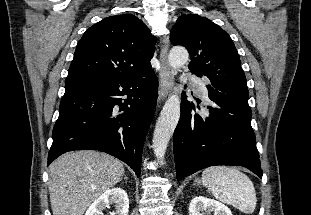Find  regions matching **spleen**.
Listing matches in <instances>:
<instances>
[{"mask_svg":"<svg viewBox=\"0 0 311 215\" xmlns=\"http://www.w3.org/2000/svg\"><path fill=\"white\" fill-rule=\"evenodd\" d=\"M202 184L213 196L245 214L254 212L257 198L250 178L234 167L212 166L202 173Z\"/></svg>","mask_w":311,"mask_h":215,"instance_id":"3e777b00","label":"spleen"}]
</instances>
